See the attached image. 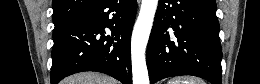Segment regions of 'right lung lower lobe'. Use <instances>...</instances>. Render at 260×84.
Instances as JSON below:
<instances>
[{
	"instance_id": "obj_1",
	"label": "right lung lower lobe",
	"mask_w": 260,
	"mask_h": 84,
	"mask_svg": "<svg viewBox=\"0 0 260 84\" xmlns=\"http://www.w3.org/2000/svg\"><path fill=\"white\" fill-rule=\"evenodd\" d=\"M136 11V0H98L54 31L51 84L83 71L102 72L132 84L130 40Z\"/></svg>"
}]
</instances>
